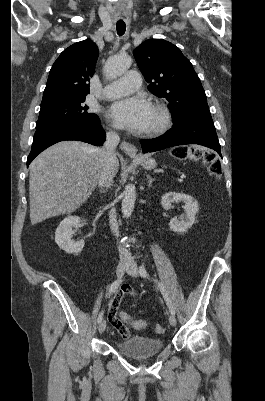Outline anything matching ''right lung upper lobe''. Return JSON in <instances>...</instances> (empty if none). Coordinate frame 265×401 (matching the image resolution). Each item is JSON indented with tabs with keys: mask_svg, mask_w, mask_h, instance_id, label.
<instances>
[{
	"mask_svg": "<svg viewBox=\"0 0 265 401\" xmlns=\"http://www.w3.org/2000/svg\"><path fill=\"white\" fill-rule=\"evenodd\" d=\"M98 48L91 39L65 49L54 62L41 104L68 98L86 97L98 58Z\"/></svg>",
	"mask_w": 265,
	"mask_h": 401,
	"instance_id": "1",
	"label": "right lung upper lobe"
}]
</instances>
